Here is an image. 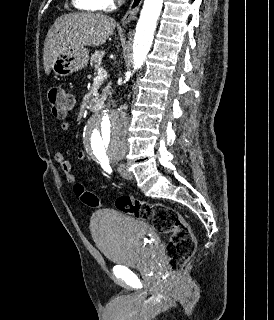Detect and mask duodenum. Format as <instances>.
<instances>
[{
    "instance_id": "1",
    "label": "duodenum",
    "mask_w": 274,
    "mask_h": 320,
    "mask_svg": "<svg viewBox=\"0 0 274 320\" xmlns=\"http://www.w3.org/2000/svg\"><path fill=\"white\" fill-rule=\"evenodd\" d=\"M103 107L102 100L98 97L92 98L90 101V108L95 111H100Z\"/></svg>"
}]
</instances>
